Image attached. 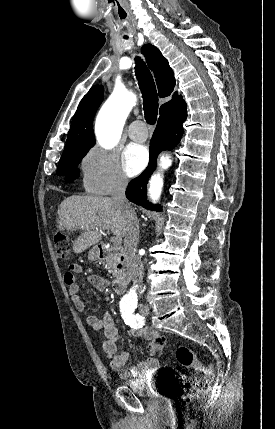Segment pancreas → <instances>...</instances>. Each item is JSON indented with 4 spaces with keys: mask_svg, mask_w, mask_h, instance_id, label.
<instances>
[{
    "mask_svg": "<svg viewBox=\"0 0 275 429\" xmlns=\"http://www.w3.org/2000/svg\"><path fill=\"white\" fill-rule=\"evenodd\" d=\"M117 261H118V255H112L107 261H106V265L109 269V272L114 276L117 277L119 272L117 270Z\"/></svg>",
    "mask_w": 275,
    "mask_h": 429,
    "instance_id": "pancreas-1",
    "label": "pancreas"
}]
</instances>
